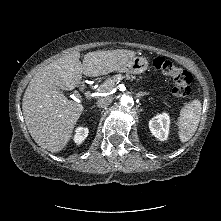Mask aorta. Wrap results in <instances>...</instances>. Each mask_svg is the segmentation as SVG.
Returning <instances> with one entry per match:
<instances>
[{
	"label": "aorta",
	"mask_w": 221,
	"mask_h": 221,
	"mask_svg": "<svg viewBox=\"0 0 221 221\" xmlns=\"http://www.w3.org/2000/svg\"><path fill=\"white\" fill-rule=\"evenodd\" d=\"M133 103V99L130 96L123 95L121 97V105L127 107Z\"/></svg>",
	"instance_id": "1"
}]
</instances>
